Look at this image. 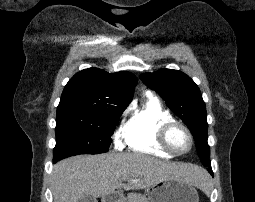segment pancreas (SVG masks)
I'll return each instance as SVG.
<instances>
[{
  "label": "pancreas",
  "mask_w": 255,
  "mask_h": 202,
  "mask_svg": "<svg viewBox=\"0 0 255 202\" xmlns=\"http://www.w3.org/2000/svg\"><path fill=\"white\" fill-rule=\"evenodd\" d=\"M125 202H148V199L140 193H129Z\"/></svg>",
  "instance_id": "cf45deb5"
}]
</instances>
